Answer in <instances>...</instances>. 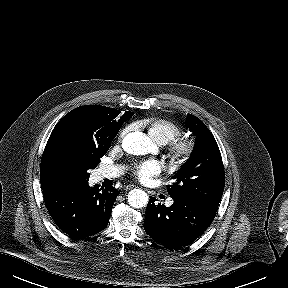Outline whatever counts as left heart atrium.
<instances>
[{
	"label": "left heart atrium",
	"instance_id": "39dd6f15",
	"mask_svg": "<svg viewBox=\"0 0 288 288\" xmlns=\"http://www.w3.org/2000/svg\"><path fill=\"white\" fill-rule=\"evenodd\" d=\"M161 164L156 160H148L139 164L135 170V177L141 182H149L152 177L158 175L161 172Z\"/></svg>",
	"mask_w": 288,
	"mask_h": 288
}]
</instances>
